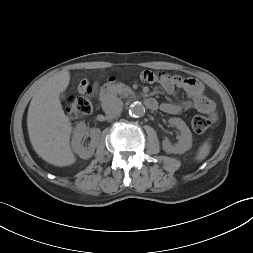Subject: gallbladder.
Wrapping results in <instances>:
<instances>
[{"instance_id": "gallbladder-1", "label": "gallbladder", "mask_w": 253, "mask_h": 253, "mask_svg": "<svg viewBox=\"0 0 253 253\" xmlns=\"http://www.w3.org/2000/svg\"><path fill=\"white\" fill-rule=\"evenodd\" d=\"M60 98L63 100V99H64V96H63V95H61V96H60Z\"/></svg>"}]
</instances>
